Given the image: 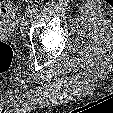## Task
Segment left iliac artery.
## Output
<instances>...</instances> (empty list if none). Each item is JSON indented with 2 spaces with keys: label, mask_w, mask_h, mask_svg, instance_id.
I'll use <instances>...</instances> for the list:
<instances>
[{
  "label": "left iliac artery",
  "mask_w": 113,
  "mask_h": 113,
  "mask_svg": "<svg viewBox=\"0 0 113 113\" xmlns=\"http://www.w3.org/2000/svg\"><path fill=\"white\" fill-rule=\"evenodd\" d=\"M38 10H39V7L37 4L32 5L31 8L29 9V11L33 14H36Z\"/></svg>",
  "instance_id": "obj_1"
}]
</instances>
